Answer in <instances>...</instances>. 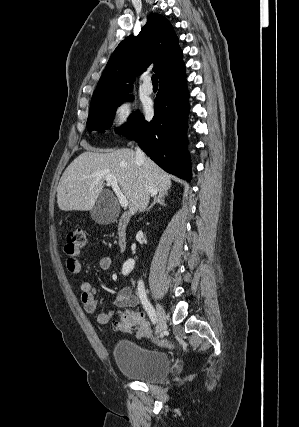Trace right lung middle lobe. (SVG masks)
<instances>
[{"instance_id":"obj_1","label":"right lung middle lobe","mask_w":299,"mask_h":427,"mask_svg":"<svg viewBox=\"0 0 299 427\" xmlns=\"http://www.w3.org/2000/svg\"><path fill=\"white\" fill-rule=\"evenodd\" d=\"M130 94H119L115 96L101 98L91 102L89 116L87 120L88 131H105L110 128L116 108L126 100H131ZM141 115L133 114L129 117L127 123L117 131L122 134L131 131L140 122Z\"/></svg>"}]
</instances>
